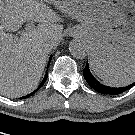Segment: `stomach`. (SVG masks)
<instances>
[{
    "mask_svg": "<svg viewBox=\"0 0 135 135\" xmlns=\"http://www.w3.org/2000/svg\"><path fill=\"white\" fill-rule=\"evenodd\" d=\"M80 22L97 70L110 72L135 62L134 0H45Z\"/></svg>",
    "mask_w": 135,
    "mask_h": 135,
    "instance_id": "stomach-1",
    "label": "stomach"
}]
</instances>
